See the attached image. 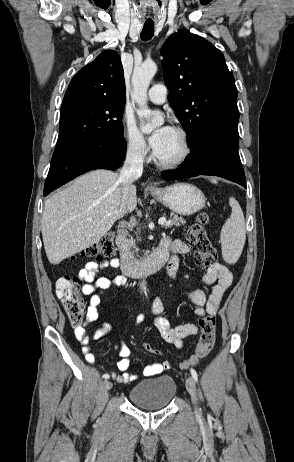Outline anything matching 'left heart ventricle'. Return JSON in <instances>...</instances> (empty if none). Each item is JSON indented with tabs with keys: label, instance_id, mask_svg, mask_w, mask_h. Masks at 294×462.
I'll return each mask as SVG.
<instances>
[{
	"label": "left heart ventricle",
	"instance_id": "1",
	"mask_svg": "<svg viewBox=\"0 0 294 462\" xmlns=\"http://www.w3.org/2000/svg\"><path fill=\"white\" fill-rule=\"evenodd\" d=\"M183 151V146L179 135L173 130L165 140L157 156L162 160H172L177 158Z\"/></svg>",
	"mask_w": 294,
	"mask_h": 462
}]
</instances>
